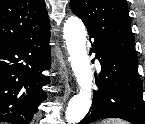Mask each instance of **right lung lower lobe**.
<instances>
[{"instance_id":"right-lung-lower-lobe-1","label":"right lung lower lobe","mask_w":145,"mask_h":124,"mask_svg":"<svg viewBox=\"0 0 145 124\" xmlns=\"http://www.w3.org/2000/svg\"><path fill=\"white\" fill-rule=\"evenodd\" d=\"M50 29L30 39L0 44V121L29 124L47 95Z\"/></svg>"}]
</instances>
